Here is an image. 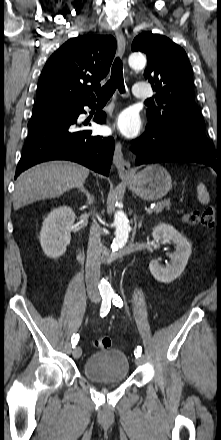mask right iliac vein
I'll use <instances>...</instances> for the list:
<instances>
[{
	"instance_id": "1",
	"label": "right iliac vein",
	"mask_w": 221,
	"mask_h": 440,
	"mask_svg": "<svg viewBox=\"0 0 221 440\" xmlns=\"http://www.w3.org/2000/svg\"><path fill=\"white\" fill-rule=\"evenodd\" d=\"M72 355L75 359L80 358V356L82 355V349L80 347H75Z\"/></svg>"
}]
</instances>
